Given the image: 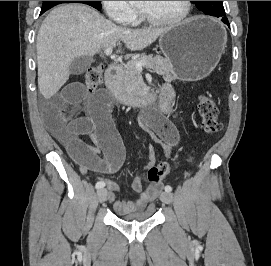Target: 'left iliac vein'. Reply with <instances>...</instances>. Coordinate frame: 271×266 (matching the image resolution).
Instances as JSON below:
<instances>
[{"label": "left iliac vein", "mask_w": 271, "mask_h": 266, "mask_svg": "<svg viewBox=\"0 0 271 266\" xmlns=\"http://www.w3.org/2000/svg\"><path fill=\"white\" fill-rule=\"evenodd\" d=\"M160 199L162 202L166 204H172L173 203V195L170 192H163L160 195Z\"/></svg>", "instance_id": "1"}]
</instances>
